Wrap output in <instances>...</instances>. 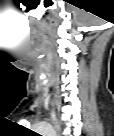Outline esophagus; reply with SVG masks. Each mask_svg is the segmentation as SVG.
Instances as JSON below:
<instances>
[{
  "instance_id": "1",
  "label": "esophagus",
  "mask_w": 114,
  "mask_h": 136,
  "mask_svg": "<svg viewBox=\"0 0 114 136\" xmlns=\"http://www.w3.org/2000/svg\"><path fill=\"white\" fill-rule=\"evenodd\" d=\"M51 120H52V123L54 125V128L56 130H58L59 129V121L57 119V116H56L54 108H52V110H51Z\"/></svg>"
}]
</instances>
